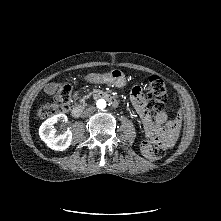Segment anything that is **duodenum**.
Here are the masks:
<instances>
[{"instance_id": "1", "label": "duodenum", "mask_w": 221, "mask_h": 221, "mask_svg": "<svg viewBox=\"0 0 221 221\" xmlns=\"http://www.w3.org/2000/svg\"><path fill=\"white\" fill-rule=\"evenodd\" d=\"M94 99L102 98L108 101L113 107H117L119 105V100L109 92L105 91H96L92 94ZM83 113V107L80 105H76L71 110V115L75 118H78Z\"/></svg>"}]
</instances>
